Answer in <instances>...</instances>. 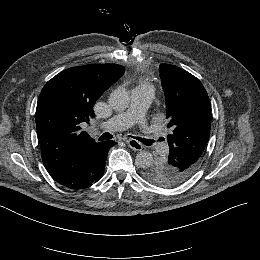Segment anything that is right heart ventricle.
<instances>
[{"mask_svg": "<svg viewBox=\"0 0 260 260\" xmlns=\"http://www.w3.org/2000/svg\"><path fill=\"white\" fill-rule=\"evenodd\" d=\"M152 86L150 85V83L148 82L147 79H145L144 77H138L133 91H137V90H151Z\"/></svg>", "mask_w": 260, "mask_h": 260, "instance_id": "e07e8e85", "label": "right heart ventricle"}]
</instances>
